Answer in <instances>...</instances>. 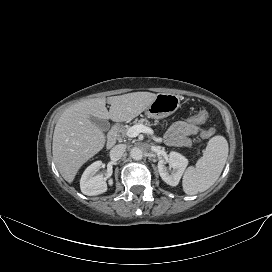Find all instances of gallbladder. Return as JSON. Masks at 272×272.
<instances>
[{
    "instance_id": "gallbladder-1",
    "label": "gallbladder",
    "mask_w": 272,
    "mask_h": 272,
    "mask_svg": "<svg viewBox=\"0 0 272 272\" xmlns=\"http://www.w3.org/2000/svg\"><path fill=\"white\" fill-rule=\"evenodd\" d=\"M90 121L99 127L102 131H108L110 128V123L105 119H99L91 116Z\"/></svg>"
}]
</instances>
